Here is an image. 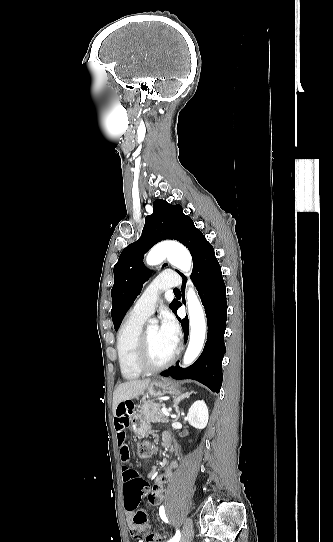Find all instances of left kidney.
<instances>
[{"mask_svg":"<svg viewBox=\"0 0 333 542\" xmlns=\"http://www.w3.org/2000/svg\"><path fill=\"white\" fill-rule=\"evenodd\" d=\"M187 420L193 428L197 430H203L206 428L209 420V410L204 402V400H197L192 404L191 408L188 410Z\"/></svg>","mask_w":333,"mask_h":542,"instance_id":"obj_1","label":"left kidney"}]
</instances>
